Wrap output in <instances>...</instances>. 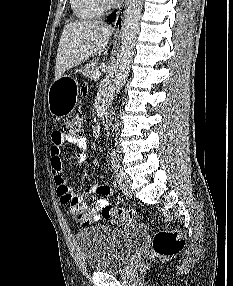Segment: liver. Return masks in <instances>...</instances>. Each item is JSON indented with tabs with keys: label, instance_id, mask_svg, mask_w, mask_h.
I'll list each match as a JSON object with an SVG mask.
<instances>
[{
	"label": "liver",
	"instance_id": "liver-1",
	"mask_svg": "<svg viewBox=\"0 0 233 286\" xmlns=\"http://www.w3.org/2000/svg\"><path fill=\"white\" fill-rule=\"evenodd\" d=\"M113 28L97 20H81L65 25L56 56L55 79L106 47Z\"/></svg>",
	"mask_w": 233,
	"mask_h": 286
}]
</instances>
